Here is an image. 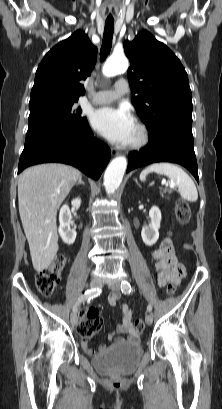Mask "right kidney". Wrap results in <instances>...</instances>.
<instances>
[{
    "label": "right kidney",
    "instance_id": "right-kidney-1",
    "mask_svg": "<svg viewBox=\"0 0 222 409\" xmlns=\"http://www.w3.org/2000/svg\"><path fill=\"white\" fill-rule=\"evenodd\" d=\"M71 204L73 207L79 208L81 205V199L76 198L72 200ZM71 218L72 216L68 205H63L59 213V234L62 240L68 245L74 243L77 235L76 231L70 228Z\"/></svg>",
    "mask_w": 222,
    "mask_h": 409
}]
</instances>
